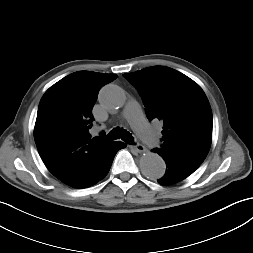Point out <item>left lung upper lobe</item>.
<instances>
[{"instance_id": "5c2ea615", "label": "left lung upper lobe", "mask_w": 253, "mask_h": 253, "mask_svg": "<svg viewBox=\"0 0 253 253\" xmlns=\"http://www.w3.org/2000/svg\"><path fill=\"white\" fill-rule=\"evenodd\" d=\"M123 76L138 89L148 120L164 124L163 144L157 150L204 161L212 140V112L201 87L166 66Z\"/></svg>"}]
</instances>
